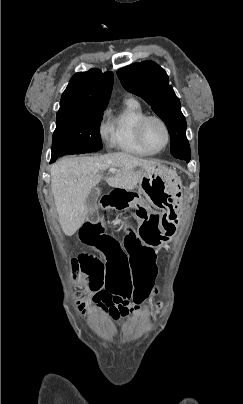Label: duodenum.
<instances>
[{
	"instance_id": "duodenum-1",
	"label": "duodenum",
	"mask_w": 243,
	"mask_h": 404,
	"mask_svg": "<svg viewBox=\"0 0 243 404\" xmlns=\"http://www.w3.org/2000/svg\"><path fill=\"white\" fill-rule=\"evenodd\" d=\"M137 202V194L123 187L114 188L109 194L102 197L101 208L123 210L133 207Z\"/></svg>"
}]
</instances>
